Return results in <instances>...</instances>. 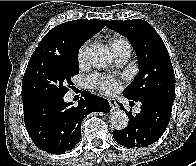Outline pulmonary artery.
<instances>
[{
    "label": "pulmonary artery",
    "instance_id": "pulmonary-artery-1",
    "mask_svg": "<svg viewBox=\"0 0 196 166\" xmlns=\"http://www.w3.org/2000/svg\"><path fill=\"white\" fill-rule=\"evenodd\" d=\"M115 62L118 65H123L127 62L129 56H130V46L129 45H121L118 46L113 50ZM139 110V107L137 108V111Z\"/></svg>",
    "mask_w": 196,
    "mask_h": 166
}]
</instances>
